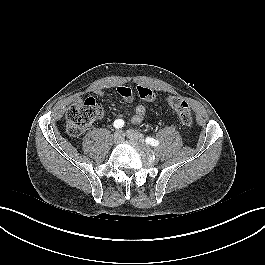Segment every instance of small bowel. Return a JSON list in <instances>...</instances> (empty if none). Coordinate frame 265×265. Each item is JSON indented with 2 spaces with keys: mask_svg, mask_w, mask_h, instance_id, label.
<instances>
[{
  "mask_svg": "<svg viewBox=\"0 0 265 265\" xmlns=\"http://www.w3.org/2000/svg\"><path fill=\"white\" fill-rule=\"evenodd\" d=\"M118 93L122 96V98L127 102L133 101V94L130 88L125 86L118 87ZM98 95H102L103 92L101 90L97 91ZM146 114V108L144 105H138L135 109V113L131 117V122L134 124H139L142 122Z\"/></svg>",
  "mask_w": 265,
  "mask_h": 265,
  "instance_id": "c3829d8e",
  "label": "small bowel"
}]
</instances>
